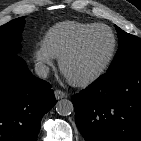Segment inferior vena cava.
I'll list each match as a JSON object with an SVG mask.
<instances>
[{
	"mask_svg": "<svg viewBox=\"0 0 141 141\" xmlns=\"http://www.w3.org/2000/svg\"><path fill=\"white\" fill-rule=\"evenodd\" d=\"M35 72L41 78H46L49 73V67L43 63H37L35 65Z\"/></svg>",
	"mask_w": 141,
	"mask_h": 141,
	"instance_id": "602c4592",
	"label": "inferior vena cava"
}]
</instances>
